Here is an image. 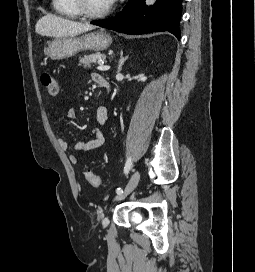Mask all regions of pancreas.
<instances>
[{"label":"pancreas","mask_w":255,"mask_h":272,"mask_svg":"<svg viewBox=\"0 0 255 272\" xmlns=\"http://www.w3.org/2000/svg\"><path fill=\"white\" fill-rule=\"evenodd\" d=\"M104 58L105 56L101 53L85 55L84 57L79 58V66H83L84 68H90L92 63Z\"/></svg>","instance_id":"cf45deb5"}]
</instances>
